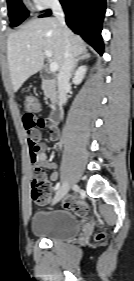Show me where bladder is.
I'll return each mask as SVG.
<instances>
[{"label":"bladder","mask_w":134,"mask_h":281,"mask_svg":"<svg viewBox=\"0 0 134 281\" xmlns=\"http://www.w3.org/2000/svg\"><path fill=\"white\" fill-rule=\"evenodd\" d=\"M31 230L40 238L65 241L79 235L82 223L72 211L67 209L39 211L33 216Z\"/></svg>","instance_id":"bladder-1"}]
</instances>
